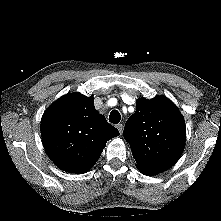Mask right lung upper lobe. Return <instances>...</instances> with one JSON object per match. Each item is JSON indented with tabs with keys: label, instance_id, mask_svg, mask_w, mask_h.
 <instances>
[{
	"label": "right lung upper lobe",
	"instance_id": "cb5924a9",
	"mask_svg": "<svg viewBox=\"0 0 221 221\" xmlns=\"http://www.w3.org/2000/svg\"><path fill=\"white\" fill-rule=\"evenodd\" d=\"M41 135L47 154L60 169L83 174L119 131L96 111L92 96L74 92L59 98L44 112Z\"/></svg>",
	"mask_w": 221,
	"mask_h": 221
}]
</instances>
